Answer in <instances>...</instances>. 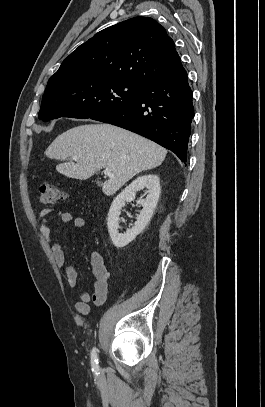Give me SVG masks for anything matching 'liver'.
<instances>
[{
  "instance_id": "6515ba94",
  "label": "liver",
  "mask_w": 265,
  "mask_h": 407,
  "mask_svg": "<svg viewBox=\"0 0 265 407\" xmlns=\"http://www.w3.org/2000/svg\"><path fill=\"white\" fill-rule=\"evenodd\" d=\"M45 154L51 159L74 160L76 163L71 161L56 166L60 174L73 179L86 180L102 168L111 169L114 176L102 187L103 193L109 196L140 172L161 165L167 150L114 125L86 124L59 135Z\"/></svg>"
}]
</instances>
